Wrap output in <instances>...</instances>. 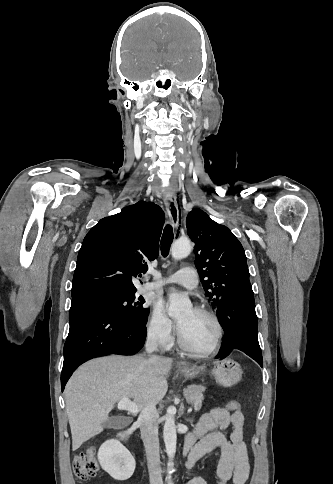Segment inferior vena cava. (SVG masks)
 Here are the masks:
<instances>
[{"label": "inferior vena cava", "instance_id": "obj_1", "mask_svg": "<svg viewBox=\"0 0 333 484\" xmlns=\"http://www.w3.org/2000/svg\"><path fill=\"white\" fill-rule=\"evenodd\" d=\"M158 338L149 334L145 343L146 352L151 354L157 349ZM152 358H158L153 356ZM157 411L152 403H147L138 417L141 437L145 446L150 484H163L160 469Z\"/></svg>", "mask_w": 333, "mask_h": 484}]
</instances>
